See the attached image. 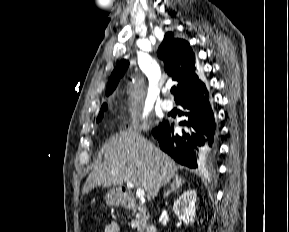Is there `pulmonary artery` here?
Instances as JSON below:
<instances>
[{
  "label": "pulmonary artery",
  "mask_w": 289,
  "mask_h": 232,
  "mask_svg": "<svg viewBox=\"0 0 289 232\" xmlns=\"http://www.w3.org/2000/svg\"><path fill=\"white\" fill-rule=\"evenodd\" d=\"M161 107L166 111H170L173 108V102L170 99H164L161 102Z\"/></svg>",
  "instance_id": "obj_1"
}]
</instances>
